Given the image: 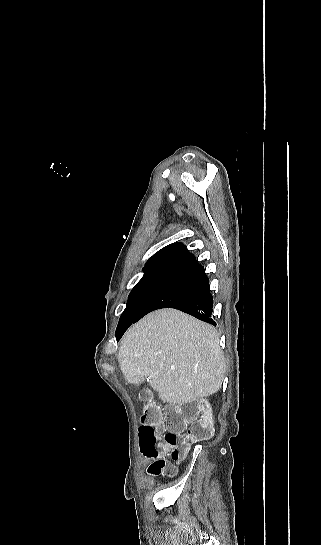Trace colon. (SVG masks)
I'll return each mask as SVG.
<instances>
[{
    "mask_svg": "<svg viewBox=\"0 0 321 545\" xmlns=\"http://www.w3.org/2000/svg\"><path fill=\"white\" fill-rule=\"evenodd\" d=\"M144 400L142 424L139 427L141 452L151 459H158L161 431H166L164 442L175 461L183 459L192 443L212 438L215 432L212 417L202 404H186L181 407L162 408L148 391L141 393ZM189 426L187 429L186 427ZM157 474L173 476V465L165 460L157 463Z\"/></svg>",
    "mask_w": 321,
    "mask_h": 545,
    "instance_id": "5ec220e1",
    "label": "colon"
}]
</instances>
